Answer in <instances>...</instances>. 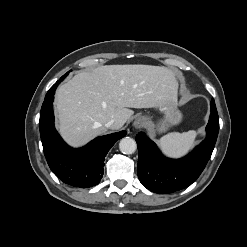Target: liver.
<instances>
[{
  "instance_id": "1",
  "label": "liver",
  "mask_w": 247,
  "mask_h": 247,
  "mask_svg": "<svg viewBox=\"0 0 247 247\" xmlns=\"http://www.w3.org/2000/svg\"><path fill=\"white\" fill-rule=\"evenodd\" d=\"M172 70L151 65H105L75 75L55 94L58 129L64 140L81 147L105 134L115 120L120 129L133 115L129 108H157L177 99Z\"/></svg>"
}]
</instances>
